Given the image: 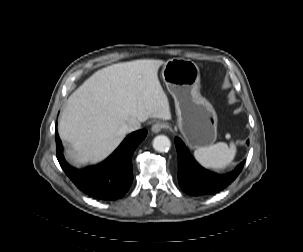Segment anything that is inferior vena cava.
I'll return each instance as SVG.
<instances>
[{
    "mask_svg": "<svg viewBox=\"0 0 303 252\" xmlns=\"http://www.w3.org/2000/svg\"><path fill=\"white\" fill-rule=\"evenodd\" d=\"M140 128H141V122H139L138 120H131L123 127V130L125 133H130Z\"/></svg>",
    "mask_w": 303,
    "mask_h": 252,
    "instance_id": "inferior-vena-cava-1",
    "label": "inferior vena cava"
}]
</instances>
